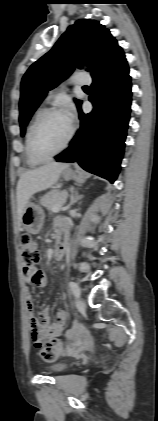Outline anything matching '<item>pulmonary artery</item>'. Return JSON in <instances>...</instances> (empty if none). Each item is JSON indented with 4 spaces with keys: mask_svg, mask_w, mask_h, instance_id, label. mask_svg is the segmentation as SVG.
Returning <instances> with one entry per match:
<instances>
[{
    "mask_svg": "<svg viewBox=\"0 0 158 421\" xmlns=\"http://www.w3.org/2000/svg\"><path fill=\"white\" fill-rule=\"evenodd\" d=\"M71 80L79 85H86V84H90L91 83V78L86 75V74H82V73H78V74H74L71 77ZM52 92H50L49 94H51ZM49 98V97H48ZM47 98V99H48Z\"/></svg>",
    "mask_w": 158,
    "mask_h": 421,
    "instance_id": "obj_1",
    "label": "pulmonary artery"
}]
</instances>
